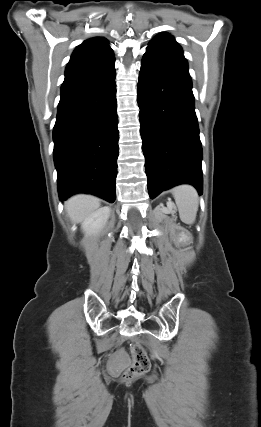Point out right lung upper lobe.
Returning <instances> with one entry per match:
<instances>
[{"mask_svg":"<svg viewBox=\"0 0 261 427\" xmlns=\"http://www.w3.org/2000/svg\"><path fill=\"white\" fill-rule=\"evenodd\" d=\"M114 63L115 57L106 39H88L74 50L61 89L99 76L113 68Z\"/></svg>","mask_w":261,"mask_h":427,"instance_id":"right-lung-upper-lobe-1","label":"right lung upper lobe"}]
</instances>
